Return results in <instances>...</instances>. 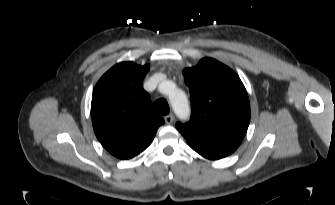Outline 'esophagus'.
Listing matches in <instances>:
<instances>
[{"label": "esophagus", "mask_w": 335, "mask_h": 205, "mask_svg": "<svg viewBox=\"0 0 335 205\" xmlns=\"http://www.w3.org/2000/svg\"><path fill=\"white\" fill-rule=\"evenodd\" d=\"M164 120L166 122V124H172L173 120H174V116L173 114H168L164 117Z\"/></svg>", "instance_id": "obj_1"}]
</instances>
